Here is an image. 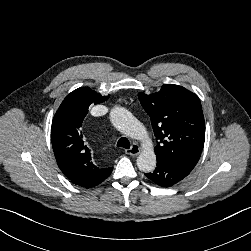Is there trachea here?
<instances>
[{
    "instance_id": "trachea-1",
    "label": "trachea",
    "mask_w": 251,
    "mask_h": 251,
    "mask_svg": "<svg viewBox=\"0 0 251 251\" xmlns=\"http://www.w3.org/2000/svg\"><path fill=\"white\" fill-rule=\"evenodd\" d=\"M117 146L125 148V149H129L130 148V142L126 137H122V138H120L118 140Z\"/></svg>"
}]
</instances>
